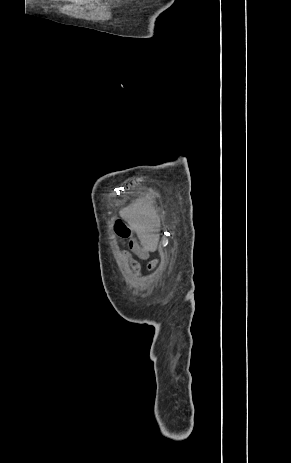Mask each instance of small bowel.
Masks as SVG:
<instances>
[{"label":"small bowel","instance_id":"c3829d8e","mask_svg":"<svg viewBox=\"0 0 291 463\" xmlns=\"http://www.w3.org/2000/svg\"><path fill=\"white\" fill-rule=\"evenodd\" d=\"M120 240L127 243L129 249L136 254L141 259H147L149 256L150 248L148 246L140 245L136 239L130 236V233L126 236H121ZM126 259L130 264L131 268L136 272V274H140V264L139 262L130 254H126ZM156 264V261H151L149 263V268L153 267Z\"/></svg>","mask_w":291,"mask_h":463}]
</instances>
